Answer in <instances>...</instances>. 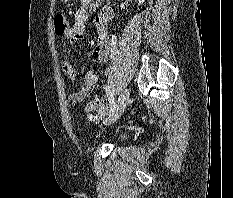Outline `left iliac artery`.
I'll use <instances>...</instances> for the list:
<instances>
[{
  "label": "left iliac artery",
  "instance_id": "obj_1",
  "mask_svg": "<svg viewBox=\"0 0 233 198\" xmlns=\"http://www.w3.org/2000/svg\"><path fill=\"white\" fill-rule=\"evenodd\" d=\"M105 89H106V93H107L108 100H109L110 114H111L114 111L115 107H116L115 99H114L113 94L109 90V86L106 85Z\"/></svg>",
  "mask_w": 233,
  "mask_h": 198
}]
</instances>
